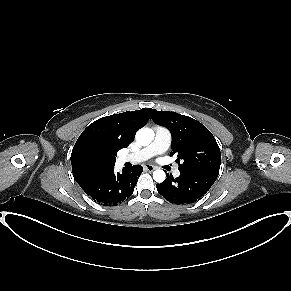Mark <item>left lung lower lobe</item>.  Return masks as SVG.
I'll return each instance as SVG.
<instances>
[{"mask_svg":"<svg viewBox=\"0 0 291 291\" xmlns=\"http://www.w3.org/2000/svg\"><path fill=\"white\" fill-rule=\"evenodd\" d=\"M179 171L180 176L176 179L167 175L165 181L156 185L158 192L174 204H189L199 200L208 192L219 174L204 170Z\"/></svg>","mask_w":291,"mask_h":291,"instance_id":"obj_1","label":"left lung lower lobe"}]
</instances>
